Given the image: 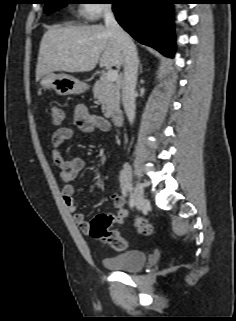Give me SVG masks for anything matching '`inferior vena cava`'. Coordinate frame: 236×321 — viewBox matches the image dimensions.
Wrapping results in <instances>:
<instances>
[{
	"mask_svg": "<svg viewBox=\"0 0 236 321\" xmlns=\"http://www.w3.org/2000/svg\"><path fill=\"white\" fill-rule=\"evenodd\" d=\"M105 26L110 31L124 53V77L122 81V102L129 122L132 124L135 119V96L134 91L137 82L138 55L134 42L131 37L125 33L115 19L111 6L104 10Z\"/></svg>",
	"mask_w": 236,
	"mask_h": 321,
	"instance_id": "1",
	"label": "inferior vena cava"
}]
</instances>
